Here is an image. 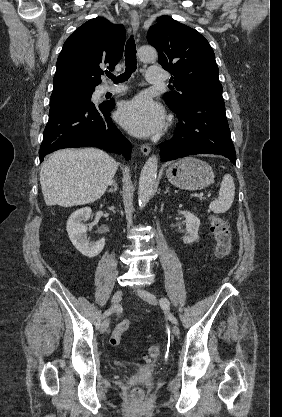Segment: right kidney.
Segmentation results:
<instances>
[{
	"label": "right kidney",
	"mask_w": 282,
	"mask_h": 417,
	"mask_svg": "<svg viewBox=\"0 0 282 417\" xmlns=\"http://www.w3.org/2000/svg\"><path fill=\"white\" fill-rule=\"evenodd\" d=\"M92 211L90 206H84V209H78L70 215L67 221V233L68 237L76 247L77 251H80L85 257H97L105 247V239H100L97 243H89V239L86 237L87 227L83 221H87Z\"/></svg>",
	"instance_id": "right-kidney-1"
}]
</instances>
